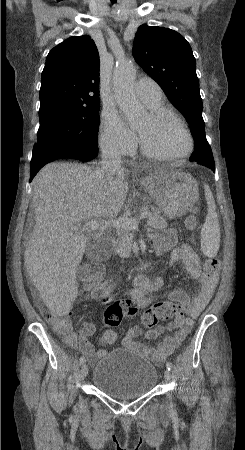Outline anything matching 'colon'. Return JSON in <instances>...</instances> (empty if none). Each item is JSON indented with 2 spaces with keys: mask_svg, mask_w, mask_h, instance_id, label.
Listing matches in <instances>:
<instances>
[{
  "mask_svg": "<svg viewBox=\"0 0 245 450\" xmlns=\"http://www.w3.org/2000/svg\"><path fill=\"white\" fill-rule=\"evenodd\" d=\"M187 227L190 230L197 228L196 221L190 217L187 221ZM205 269L209 274L215 275L219 272L220 261L217 258H209L205 262ZM104 266L98 261H89L85 263L79 273L80 280L85 286L94 288L101 285L100 276ZM136 313V307L130 300H116L111 302L104 313V324L108 328L104 333V339L107 343H113L116 334L110 330L121 324L126 316H133ZM45 320L58 331L64 332L71 326V316L68 312L56 313L46 311L43 314ZM185 318L184 310L181 305L163 301L155 304L142 314V324L147 329L155 328L160 322L174 320L181 322Z\"/></svg>",
  "mask_w": 245,
  "mask_h": 450,
  "instance_id": "obj_1",
  "label": "colon"
}]
</instances>
